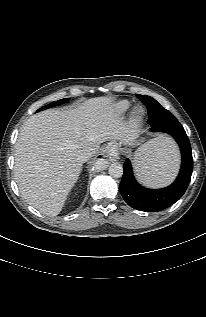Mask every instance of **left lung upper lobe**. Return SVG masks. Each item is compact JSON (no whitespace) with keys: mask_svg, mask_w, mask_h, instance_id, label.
Returning a JSON list of instances; mask_svg holds the SVG:
<instances>
[{"mask_svg":"<svg viewBox=\"0 0 206 317\" xmlns=\"http://www.w3.org/2000/svg\"><path fill=\"white\" fill-rule=\"evenodd\" d=\"M138 98L147 106L149 114V124L152 126V131H162L169 128L183 129L179 121L168 111L164 113L163 111H155V106H161L155 99L150 96L137 95ZM162 107V106H161ZM163 108V107H162Z\"/></svg>","mask_w":206,"mask_h":317,"instance_id":"obj_1","label":"left lung upper lobe"}]
</instances>
